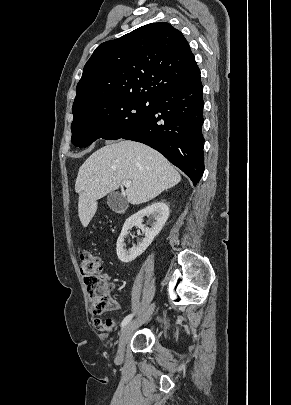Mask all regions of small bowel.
I'll return each mask as SVG.
<instances>
[{
  "label": "small bowel",
  "instance_id": "obj_1",
  "mask_svg": "<svg viewBox=\"0 0 291 405\" xmlns=\"http://www.w3.org/2000/svg\"><path fill=\"white\" fill-rule=\"evenodd\" d=\"M119 308L120 305L116 301L112 300L111 309L118 310ZM94 326L97 330L101 332H109L114 328L115 321L113 319H107L105 321H102L101 319L96 318L94 319Z\"/></svg>",
  "mask_w": 291,
  "mask_h": 405
}]
</instances>
